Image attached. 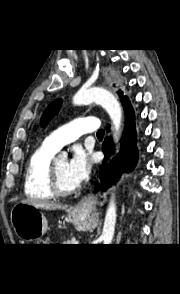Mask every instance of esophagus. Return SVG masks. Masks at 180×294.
<instances>
[{
	"label": "esophagus",
	"instance_id": "obj_1",
	"mask_svg": "<svg viewBox=\"0 0 180 294\" xmlns=\"http://www.w3.org/2000/svg\"><path fill=\"white\" fill-rule=\"evenodd\" d=\"M98 203L97 197L93 194L84 196L74 207L73 211L76 214L80 213H92L96 211V205Z\"/></svg>",
	"mask_w": 180,
	"mask_h": 294
}]
</instances>
